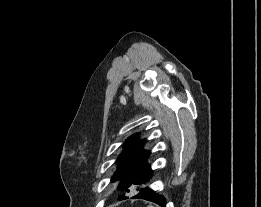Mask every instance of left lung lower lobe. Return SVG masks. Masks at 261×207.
<instances>
[{
    "label": "left lung lower lobe",
    "instance_id": "0a47b994",
    "mask_svg": "<svg viewBox=\"0 0 261 207\" xmlns=\"http://www.w3.org/2000/svg\"><path fill=\"white\" fill-rule=\"evenodd\" d=\"M133 199H144L148 201H152L161 207H166V200L163 196L158 195L151 188H143L140 189V192L132 197Z\"/></svg>",
    "mask_w": 261,
    "mask_h": 207
}]
</instances>
